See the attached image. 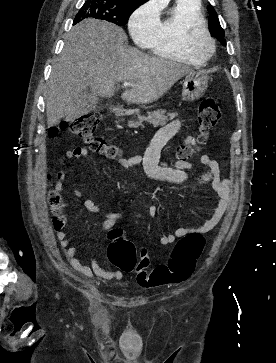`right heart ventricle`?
<instances>
[{
    "mask_svg": "<svg viewBox=\"0 0 276 363\" xmlns=\"http://www.w3.org/2000/svg\"><path fill=\"white\" fill-rule=\"evenodd\" d=\"M206 26L199 0H176L167 17L159 21V26L146 46L161 58L200 67L204 62L191 56L185 49V32L189 25Z\"/></svg>",
    "mask_w": 276,
    "mask_h": 363,
    "instance_id": "1",
    "label": "right heart ventricle"
}]
</instances>
